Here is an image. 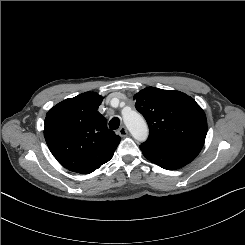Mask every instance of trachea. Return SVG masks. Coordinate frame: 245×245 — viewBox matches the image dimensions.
I'll list each match as a JSON object with an SVG mask.
<instances>
[{
    "label": "trachea",
    "instance_id": "trachea-1",
    "mask_svg": "<svg viewBox=\"0 0 245 245\" xmlns=\"http://www.w3.org/2000/svg\"><path fill=\"white\" fill-rule=\"evenodd\" d=\"M119 126H120V120L117 117L112 118L111 121L109 122L110 129L116 130L119 128Z\"/></svg>",
    "mask_w": 245,
    "mask_h": 245
}]
</instances>
